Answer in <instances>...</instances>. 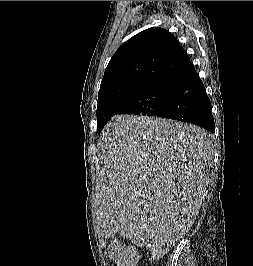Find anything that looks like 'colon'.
Returning <instances> with one entry per match:
<instances>
[{"instance_id": "1", "label": "colon", "mask_w": 253, "mask_h": 266, "mask_svg": "<svg viewBox=\"0 0 253 266\" xmlns=\"http://www.w3.org/2000/svg\"><path fill=\"white\" fill-rule=\"evenodd\" d=\"M107 257L115 266H136V256L115 241L110 242L106 250Z\"/></svg>"}]
</instances>
